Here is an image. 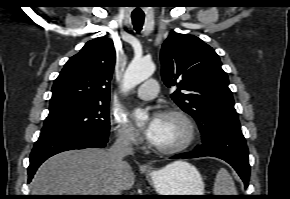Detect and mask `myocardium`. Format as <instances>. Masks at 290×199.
I'll return each mask as SVG.
<instances>
[{
    "instance_id": "myocardium-1",
    "label": "myocardium",
    "mask_w": 290,
    "mask_h": 199,
    "mask_svg": "<svg viewBox=\"0 0 290 199\" xmlns=\"http://www.w3.org/2000/svg\"><path fill=\"white\" fill-rule=\"evenodd\" d=\"M159 116H174L179 118L187 126L188 137L185 142L172 148H162L151 142L150 146L154 151L163 155H177L187 151L194 145L198 138V128L195 121L189 114L179 108H167L162 110L159 113Z\"/></svg>"
}]
</instances>
